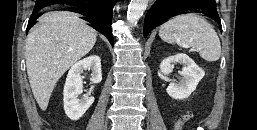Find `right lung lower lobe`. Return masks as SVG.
<instances>
[{"label": "right lung lower lobe", "mask_w": 257, "mask_h": 130, "mask_svg": "<svg viewBox=\"0 0 257 130\" xmlns=\"http://www.w3.org/2000/svg\"><path fill=\"white\" fill-rule=\"evenodd\" d=\"M117 0H92L84 1L77 4H71L79 7L81 11L78 13L83 15V19L90 23V26L97 31L103 33L110 43L113 45V36L111 33V22L113 7ZM65 4L62 2L40 1L37 0L33 13L29 19L27 30L36 23V19L40 16L38 13L41 9L54 5Z\"/></svg>", "instance_id": "1"}]
</instances>
